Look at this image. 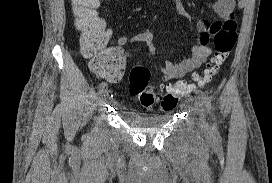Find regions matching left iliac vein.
Listing matches in <instances>:
<instances>
[{
  "instance_id": "1",
  "label": "left iliac vein",
  "mask_w": 272,
  "mask_h": 183,
  "mask_svg": "<svg viewBox=\"0 0 272 183\" xmlns=\"http://www.w3.org/2000/svg\"><path fill=\"white\" fill-rule=\"evenodd\" d=\"M195 107H196L197 114L199 116L200 127H201L202 131L208 132L209 125L206 121V112H205V108L203 106V102L201 101V99H198L196 101Z\"/></svg>"
}]
</instances>
